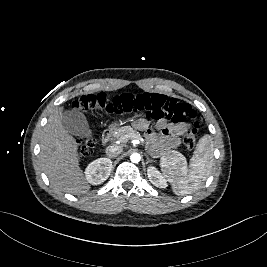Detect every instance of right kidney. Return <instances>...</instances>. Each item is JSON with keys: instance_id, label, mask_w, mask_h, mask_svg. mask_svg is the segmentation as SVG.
<instances>
[{"instance_id": "obj_1", "label": "right kidney", "mask_w": 267, "mask_h": 267, "mask_svg": "<svg viewBox=\"0 0 267 267\" xmlns=\"http://www.w3.org/2000/svg\"><path fill=\"white\" fill-rule=\"evenodd\" d=\"M112 167V161L109 158L96 159L85 169L86 180L92 185H99L108 179Z\"/></svg>"}]
</instances>
